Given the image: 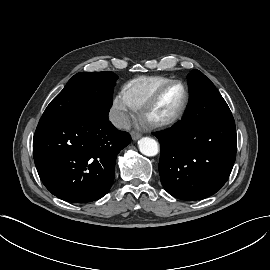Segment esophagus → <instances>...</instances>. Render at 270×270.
Here are the masks:
<instances>
[{"instance_id": "34e87169", "label": "esophagus", "mask_w": 270, "mask_h": 270, "mask_svg": "<svg viewBox=\"0 0 270 270\" xmlns=\"http://www.w3.org/2000/svg\"><path fill=\"white\" fill-rule=\"evenodd\" d=\"M131 137L133 140H138L141 137V134L136 132V131H132L131 132Z\"/></svg>"}]
</instances>
